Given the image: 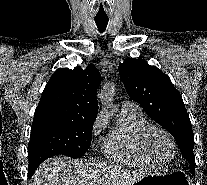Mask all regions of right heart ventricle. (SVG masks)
I'll use <instances>...</instances> for the list:
<instances>
[{
	"label": "right heart ventricle",
	"mask_w": 207,
	"mask_h": 185,
	"mask_svg": "<svg viewBox=\"0 0 207 185\" xmlns=\"http://www.w3.org/2000/svg\"><path fill=\"white\" fill-rule=\"evenodd\" d=\"M148 125L149 122L139 112L122 109L115 128L104 140V153L114 161L124 164H156V160L145 151L141 142L142 132Z\"/></svg>",
	"instance_id": "obj_1"
}]
</instances>
